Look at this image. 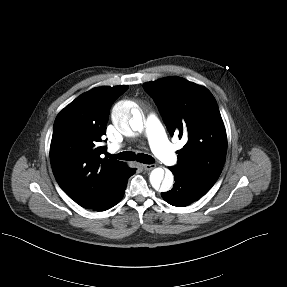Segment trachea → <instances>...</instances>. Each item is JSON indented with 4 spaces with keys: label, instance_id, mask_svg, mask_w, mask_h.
<instances>
[{
    "label": "trachea",
    "instance_id": "1",
    "mask_svg": "<svg viewBox=\"0 0 287 287\" xmlns=\"http://www.w3.org/2000/svg\"><path fill=\"white\" fill-rule=\"evenodd\" d=\"M110 157H114L119 160H126V161H138L140 163L144 164H152L154 162V159L152 156L147 155V154H135L132 151H125L122 153H119L117 155H109Z\"/></svg>",
    "mask_w": 287,
    "mask_h": 287
}]
</instances>
